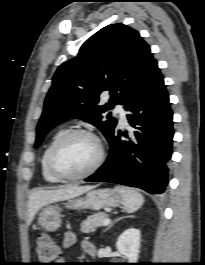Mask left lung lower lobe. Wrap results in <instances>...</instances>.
<instances>
[{
	"label": "left lung lower lobe",
	"mask_w": 205,
	"mask_h": 265,
	"mask_svg": "<svg viewBox=\"0 0 205 265\" xmlns=\"http://www.w3.org/2000/svg\"><path fill=\"white\" fill-rule=\"evenodd\" d=\"M125 104L134 130L129 134L115 130L108 140L107 161L85 181L117 183L162 194L168 184L167 163L174 132L169 96L157 63ZM122 135L128 140H122Z\"/></svg>",
	"instance_id": "obj_1"
}]
</instances>
